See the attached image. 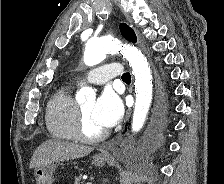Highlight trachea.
Returning <instances> with one entry per match:
<instances>
[{"label": "trachea", "instance_id": "trachea-1", "mask_svg": "<svg viewBox=\"0 0 224 184\" xmlns=\"http://www.w3.org/2000/svg\"><path fill=\"white\" fill-rule=\"evenodd\" d=\"M122 80L123 81H131V75L130 73L126 72L122 75Z\"/></svg>", "mask_w": 224, "mask_h": 184}]
</instances>
